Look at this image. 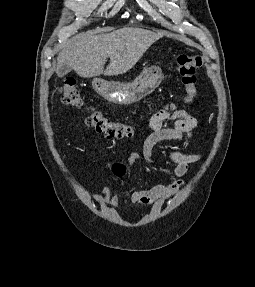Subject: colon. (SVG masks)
Listing matches in <instances>:
<instances>
[{
  "mask_svg": "<svg viewBox=\"0 0 255 287\" xmlns=\"http://www.w3.org/2000/svg\"><path fill=\"white\" fill-rule=\"evenodd\" d=\"M202 59L199 56L181 54L177 57L176 71L185 87V101L190 102L196 95V70L201 67ZM61 100L65 105L79 108L83 105V98L74 79H66L60 87ZM173 109V106L170 107ZM86 124L108 138H123L133 135L132 125L112 121L102 112L92 110L86 117Z\"/></svg>",
  "mask_w": 255,
  "mask_h": 287,
  "instance_id": "colon-1",
  "label": "colon"
}]
</instances>
